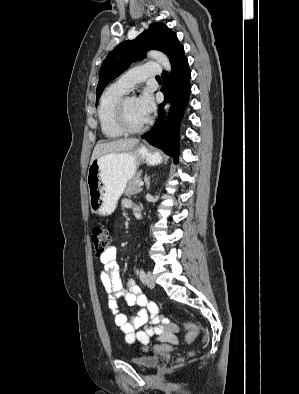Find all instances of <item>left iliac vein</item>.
I'll return each instance as SVG.
<instances>
[{
	"label": "left iliac vein",
	"instance_id": "left-iliac-vein-1",
	"mask_svg": "<svg viewBox=\"0 0 299 394\" xmlns=\"http://www.w3.org/2000/svg\"><path fill=\"white\" fill-rule=\"evenodd\" d=\"M146 285L149 288H154L155 287V281L152 273L150 271L147 272L146 274Z\"/></svg>",
	"mask_w": 299,
	"mask_h": 394
}]
</instances>
